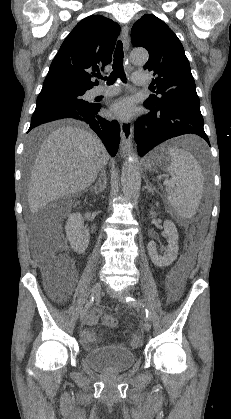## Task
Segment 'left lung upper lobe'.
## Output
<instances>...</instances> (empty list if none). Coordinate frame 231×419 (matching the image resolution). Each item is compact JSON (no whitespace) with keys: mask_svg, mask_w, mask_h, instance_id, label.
Returning <instances> with one entry per match:
<instances>
[{"mask_svg":"<svg viewBox=\"0 0 231 419\" xmlns=\"http://www.w3.org/2000/svg\"><path fill=\"white\" fill-rule=\"evenodd\" d=\"M132 44L144 47L149 60L144 69L152 71L157 94L150 95L147 103L154 107L172 103H198L195 81L189 61L176 34L153 14H145L132 27Z\"/></svg>","mask_w":231,"mask_h":419,"instance_id":"left-lung-upper-lobe-1","label":"left lung upper lobe"}]
</instances>
